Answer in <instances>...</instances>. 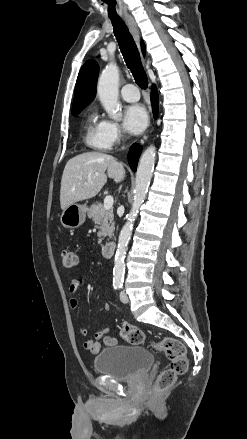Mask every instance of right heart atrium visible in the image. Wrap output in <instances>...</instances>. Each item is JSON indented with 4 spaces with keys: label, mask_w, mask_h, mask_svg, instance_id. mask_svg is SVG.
Returning a JSON list of instances; mask_svg holds the SVG:
<instances>
[{
    "label": "right heart atrium",
    "mask_w": 247,
    "mask_h": 439,
    "mask_svg": "<svg viewBox=\"0 0 247 439\" xmlns=\"http://www.w3.org/2000/svg\"><path fill=\"white\" fill-rule=\"evenodd\" d=\"M104 132L111 146L117 144L123 137L122 127L112 120H105Z\"/></svg>",
    "instance_id": "1"
}]
</instances>
